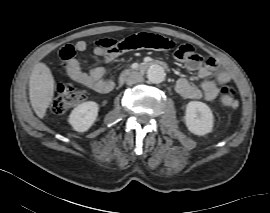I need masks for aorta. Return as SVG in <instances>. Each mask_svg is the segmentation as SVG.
Returning <instances> with one entry per match:
<instances>
[{
	"mask_svg": "<svg viewBox=\"0 0 270 213\" xmlns=\"http://www.w3.org/2000/svg\"><path fill=\"white\" fill-rule=\"evenodd\" d=\"M147 78L151 83L159 84L165 79V71L160 65H152L147 71Z\"/></svg>",
	"mask_w": 270,
	"mask_h": 213,
	"instance_id": "1",
	"label": "aorta"
}]
</instances>
